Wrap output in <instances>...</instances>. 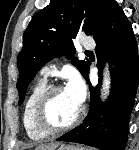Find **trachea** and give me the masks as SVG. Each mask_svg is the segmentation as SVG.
Segmentation results:
<instances>
[{
    "label": "trachea",
    "mask_w": 139,
    "mask_h": 150,
    "mask_svg": "<svg viewBox=\"0 0 139 150\" xmlns=\"http://www.w3.org/2000/svg\"><path fill=\"white\" fill-rule=\"evenodd\" d=\"M86 53H91L90 51H86Z\"/></svg>",
    "instance_id": "3493384b"
}]
</instances>
